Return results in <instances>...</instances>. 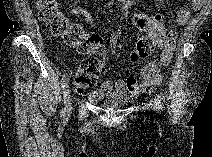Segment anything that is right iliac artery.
<instances>
[{"mask_svg": "<svg viewBox=\"0 0 212 157\" xmlns=\"http://www.w3.org/2000/svg\"><path fill=\"white\" fill-rule=\"evenodd\" d=\"M68 83V77L64 76L61 80V87L64 89Z\"/></svg>", "mask_w": 212, "mask_h": 157, "instance_id": "right-iliac-artery-1", "label": "right iliac artery"}]
</instances>
